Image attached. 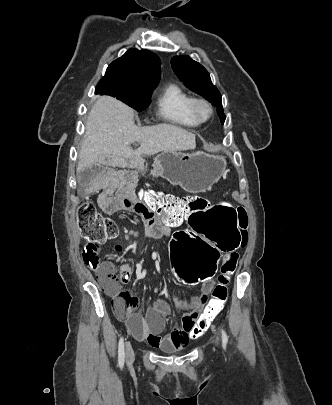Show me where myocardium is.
I'll list each match as a JSON object with an SVG mask.
<instances>
[{"instance_id":"f54148a6","label":"myocardium","mask_w":332,"mask_h":405,"mask_svg":"<svg viewBox=\"0 0 332 405\" xmlns=\"http://www.w3.org/2000/svg\"><path fill=\"white\" fill-rule=\"evenodd\" d=\"M204 106L207 108L208 113L207 115H202L200 113V107ZM190 111L193 117L198 120L199 122H205L211 118L213 115V107L211 103L205 98H193L190 104Z\"/></svg>"}]
</instances>
